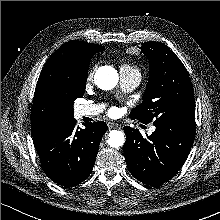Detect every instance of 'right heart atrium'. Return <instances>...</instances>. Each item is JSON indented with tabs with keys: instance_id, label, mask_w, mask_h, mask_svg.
<instances>
[{
	"instance_id": "right-heart-atrium-1",
	"label": "right heart atrium",
	"mask_w": 220,
	"mask_h": 220,
	"mask_svg": "<svg viewBox=\"0 0 220 220\" xmlns=\"http://www.w3.org/2000/svg\"><path fill=\"white\" fill-rule=\"evenodd\" d=\"M93 79V70H90L87 75V82H90Z\"/></svg>"
}]
</instances>
